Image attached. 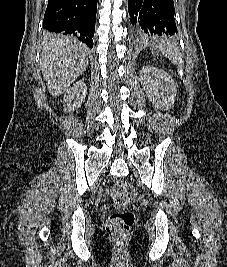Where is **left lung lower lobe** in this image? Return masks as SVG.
I'll return each mask as SVG.
<instances>
[{
	"label": "left lung lower lobe",
	"mask_w": 227,
	"mask_h": 267,
	"mask_svg": "<svg viewBox=\"0 0 227 267\" xmlns=\"http://www.w3.org/2000/svg\"><path fill=\"white\" fill-rule=\"evenodd\" d=\"M128 12L136 38L177 34L173 0H128Z\"/></svg>",
	"instance_id": "1"
}]
</instances>
